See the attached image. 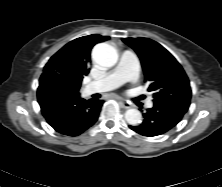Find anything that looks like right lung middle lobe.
Listing matches in <instances>:
<instances>
[{
  "label": "right lung middle lobe",
  "mask_w": 222,
  "mask_h": 187,
  "mask_svg": "<svg viewBox=\"0 0 222 187\" xmlns=\"http://www.w3.org/2000/svg\"><path fill=\"white\" fill-rule=\"evenodd\" d=\"M59 78L61 79V81L64 83V85L70 89L71 91H74V92H78L79 89H80V85L72 82L71 80L59 75Z\"/></svg>",
  "instance_id": "right-lung-middle-lobe-1"
}]
</instances>
